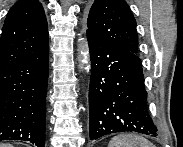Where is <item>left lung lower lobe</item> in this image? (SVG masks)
<instances>
[{
  "label": "left lung lower lobe",
  "mask_w": 183,
  "mask_h": 147,
  "mask_svg": "<svg viewBox=\"0 0 183 147\" xmlns=\"http://www.w3.org/2000/svg\"><path fill=\"white\" fill-rule=\"evenodd\" d=\"M87 38L91 59V140L117 132L156 135L138 55L89 33Z\"/></svg>",
  "instance_id": "left-lung-lower-lobe-1"
}]
</instances>
